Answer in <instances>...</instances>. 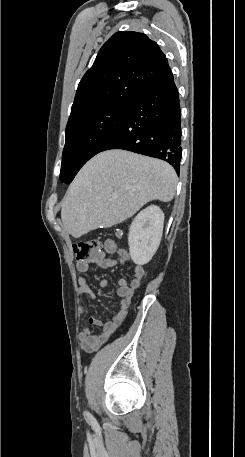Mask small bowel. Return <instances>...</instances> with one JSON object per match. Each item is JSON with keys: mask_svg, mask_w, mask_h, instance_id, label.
I'll use <instances>...</instances> for the list:
<instances>
[{"mask_svg": "<svg viewBox=\"0 0 245 457\" xmlns=\"http://www.w3.org/2000/svg\"><path fill=\"white\" fill-rule=\"evenodd\" d=\"M116 254L117 258H110L109 255ZM130 256L128 252L119 247L114 240H106L100 254L87 261H81L77 264V269L80 272H86L90 269L91 265L100 268H113L116 266H126ZM145 272L140 265L132 266V279L128 282L126 279L118 280L117 294L121 298L117 308L113 311L110 320L103 321L98 317H90L88 325L79 333V340L81 347L87 351L92 352L100 348L111 335L118 329L126 317L128 308L131 303L134 291L142 284ZM79 293L84 299L96 298V294L92 290L89 282L85 278L79 279ZM109 283L106 279L100 282L102 288L108 287ZM80 312H83V307H80ZM94 327L100 328V332L95 334Z\"/></svg>", "mask_w": 245, "mask_h": 457, "instance_id": "small-bowel-1", "label": "small bowel"}]
</instances>
